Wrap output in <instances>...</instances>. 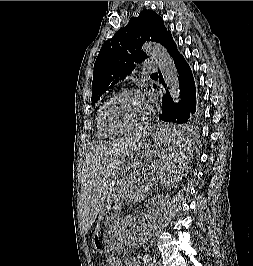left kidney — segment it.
Wrapping results in <instances>:
<instances>
[{
  "label": "left kidney",
  "mask_w": 253,
  "mask_h": 266,
  "mask_svg": "<svg viewBox=\"0 0 253 266\" xmlns=\"http://www.w3.org/2000/svg\"><path fill=\"white\" fill-rule=\"evenodd\" d=\"M135 221L136 218L132 215L127 216L122 222V227L119 231L121 241L129 246L141 244L149 233L148 231L135 229Z\"/></svg>",
  "instance_id": "obj_1"
}]
</instances>
